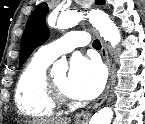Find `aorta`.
Listing matches in <instances>:
<instances>
[{"instance_id":"obj_1","label":"aorta","mask_w":145,"mask_h":124,"mask_svg":"<svg viewBox=\"0 0 145 124\" xmlns=\"http://www.w3.org/2000/svg\"><path fill=\"white\" fill-rule=\"evenodd\" d=\"M84 13L78 11H69L61 13L58 17V27H71L78 24ZM86 17L91 24L98 30L100 36L108 41L112 47H115L121 40V34L118 27L110 17L101 10H91L87 12ZM54 67L62 71H67L68 64L65 58L58 60ZM113 111L110 107H105L92 116L89 124H111Z\"/></svg>"}]
</instances>
